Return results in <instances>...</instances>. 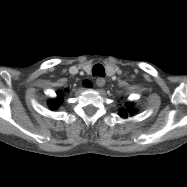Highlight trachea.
<instances>
[{
    "label": "trachea",
    "instance_id": "trachea-1",
    "mask_svg": "<svg viewBox=\"0 0 187 187\" xmlns=\"http://www.w3.org/2000/svg\"><path fill=\"white\" fill-rule=\"evenodd\" d=\"M92 75L93 76H100L104 77L105 76V69L101 64H96L92 68Z\"/></svg>",
    "mask_w": 187,
    "mask_h": 187
}]
</instances>
